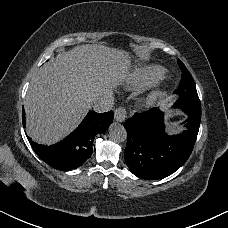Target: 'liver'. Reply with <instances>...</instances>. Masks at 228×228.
Listing matches in <instances>:
<instances>
[{"label":"liver","mask_w":228,"mask_h":228,"mask_svg":"<svg viewBox=\"0 0 228 228\" xmlns=\"http://www.w3.org/2000/svg\"><path fill=\"white\" fill-rule=\"evenodd\" d=\"M122 52L102 45L63 49L30 83L24 108L27 132L38 143H54L73 130L91 107V94L109 92L127 73Z\"/></svg>","instance_id":"obj_1"}]
</instances>
